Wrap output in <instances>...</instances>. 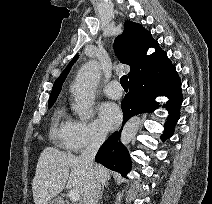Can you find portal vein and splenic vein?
<instances>
[{
	"mask_svg": "<svg viewBox=\"0 0 212 204\" xmlns=\"http://www.w3.org/2000/svg\"><path fill=\"white\" fill-rule=\"evenodd\" d=\"M61 169H57V172H61ZM68 196L71 201L77 202L80 199L79 192L77 190H70Z\"/></svg>",
	"mask_w": 212,
	"mask_h": 204,
	"instance_id": "obj_1",
	"label": "portal vein and splenic vein"
}]
</instances>
